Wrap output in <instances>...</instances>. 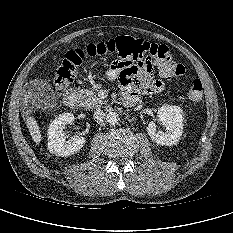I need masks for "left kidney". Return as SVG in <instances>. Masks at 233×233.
I'll use <instances>...</instances> for the list:
<instances>
[{
    "label": "left kidney",
    "instance_id": "5707ae66",
    "mask_svg": "<svg viewBox=\"0 0 233 233\" xmlns=\"http://www.w3.org/2000/svg\"><path fill=\"white\" fill-rule=\"evenodd\" d=\"M157 117L165 131L157 130V125L152 121L147 126L150 138L161 145L176 144L183 133V110L178 106L165 105L158 109Z\"/></svg>",
    "mask_w": 233,
    "mask_h": 233
}]
</instances>
